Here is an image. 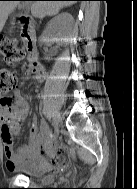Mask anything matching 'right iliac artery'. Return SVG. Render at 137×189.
Wrapping results in <instances>:
<instances>
[{"instance_id":"obj_1","label":"right iliac artery","mask_w":137,"mask_h":189,"mask_svg":"<svg viewBox=\"0 0 137 189\" xmlns=\"http://www.w3.org/2000/svg\"><path fill=\"white\" fill-rule=\"evenodd\" d=\"M47 125H51V119H48Z\"/></svg>"}]
</instances>
